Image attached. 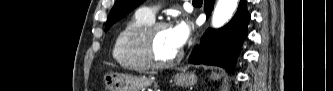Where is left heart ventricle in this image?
<instances>
[{"label":"left heart ventricle","mask_w":333,"mask_h":91,"mask_svg":"<svg viewBox=\"0 0 333 91\" xmlns=\"http://www.w3.org/2000/svg\"><path fill=\"white\" fill-rule=\"evenodd\" d=\"M180 50L175 46L170 28H161L153 36V52L156 59L168 61Z\"/></svg>","instance_id":"b2bd125f"}]
</instances>
